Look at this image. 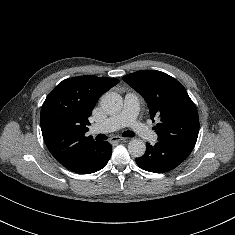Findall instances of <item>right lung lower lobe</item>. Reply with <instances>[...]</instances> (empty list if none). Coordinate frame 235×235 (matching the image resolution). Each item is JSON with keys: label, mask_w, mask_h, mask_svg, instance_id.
<instances>
[{"label": "right lung lower lobe", "mask_w": 235, "mask_h": 235, "mask_svg": "<svg viewBox=\"0 0 235 235\" xmlns=\"http://www.w3.org/2000/svg\"><path fill=\"white\" fill-rule=\"evenodd\" d=\"M112 155V146L107 141H95L81 151L78 158L67 169L78 174H90L101 170Z\"/></svg>", "instance_id": "obj_1"}]
</instances>
